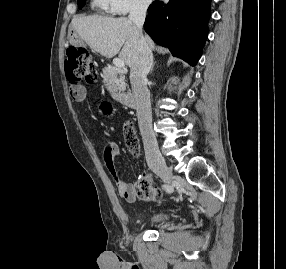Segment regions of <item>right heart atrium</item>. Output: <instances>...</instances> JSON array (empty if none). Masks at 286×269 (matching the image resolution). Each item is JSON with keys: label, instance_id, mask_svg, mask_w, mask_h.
<instances>
[{"label": "right heart atrium", "instance_id": "1", "mask_svg": "<svg viewBox=\"0 0 286 269\" xmlns=\"http://www.w3.org/2000/svg\"><path fill=\"white\" fill-rule=\"evenodd\" d=\"M111 10L117 15H126L132 12H144L148 9L151 0H109Z\"/></svg>", "mask_w": 286, "mask_h": 269}]
</instances>
